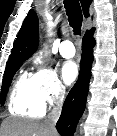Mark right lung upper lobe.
I'll list each match as a JSON object with an SVG mask.
<instances>
[{
    "label": "right lung upper lobe",
    "mask_w": 117,
    "mask_h": 136,
    "mask_svg": "<svg viewBox=\"0 0 117 136\" xmlns=\"http://www.w3.org/2000/svg\"><path fill=\"white\" fill-rule=\"evenodd\" d=\"M80 2L82 4L84 16L88 17L92 0H80ZM38 43V18L35 11L30 10L18 33L8 62L27 60L36 51Z\"/></svg>",
    "instance_id": "right-lung-upper-lobe-1"
}]
</instances>
